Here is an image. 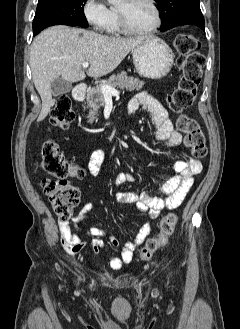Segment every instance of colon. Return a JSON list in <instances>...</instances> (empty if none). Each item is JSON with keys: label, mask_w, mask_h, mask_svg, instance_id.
Returning a JSON list of instances; mask_svg holds the SVG:
<instances>
[{"label": "colon", "mask_w": 240, "mask_h": 329, "mask_svg": "<svg viewBox=\"0 0 240 329\" xmlns=\"http://www.w3.org/2000/svg\"><path fill=\"white\" fill-rule=\"evenodd\" d=\"M175 47L179 53L177 66L181 71V77L175 89L168 95L167 104L173 112L182 113L193 104L196 98L205 57L198 49V40L191 34L177 35ZM74 118L70 98L66 95L60 96L51 112L52 124L66 129ZM177 127L184 135V143L190 148L193 156L205 157L207 153L205 137L198 122L190 116L181 114ZM40 152L42 169L54 177L53 180H44L45 195L58 218L61 221H67L72 217L74 208L80 201V193L70 186L69 179L82 178L84 170L79 165L69 162L57 144L51 140L42 144ZM177 221L178 217L175 213H169L161 219L160 234L147 240L140 252L141 261L151 259L157 250L167 244Z\"/></svg>", "instance_id": "obj_1"}]
</instances>
